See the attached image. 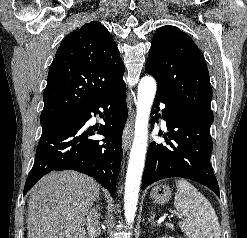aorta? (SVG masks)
I'll list each match as a JSON object with an SVG mask.
<instances>
[{
  "label": "aorta",
  "instance_id": "1",
  "mask_svg": "<svg viewBox=\"0 0 247 238\" xmlns=\"http://www.w3.org/2000/svg\"><path fill=\"white\" fill-rule=\"evenodd\" d=\"M156 88V81L151 76L143 77L138 85L134 140L129 157L124 192L125 219L128 224L133 223L138 204L147 150L148 122Z\"/></svg>",
  "mask_w": 247,
  "mask_h": 238
}]
</instances>
